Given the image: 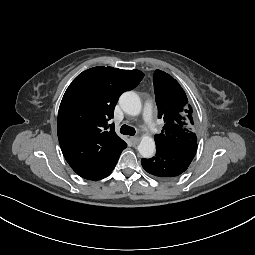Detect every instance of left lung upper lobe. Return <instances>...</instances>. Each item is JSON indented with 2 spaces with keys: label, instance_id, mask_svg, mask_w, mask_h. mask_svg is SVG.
<instances>
[{
  "label": "left lung upper lobe",
  "instance_id": "left-lung-upper-lobe-1",
  "mask_svg": "<svg viewBox=\"0 0 255 255\" xmlns=\"http://www.w3.org/2000/svg\"><path fill=\"white\" fill-rule=\"evenodd\" d=\"M153 82L158 118L164 121L162 133L154 137L156 148L197 144L193 111L184 90L173 77L161 70L155 71Z\"/></svg>",
  "mask_w": 255,
  "mask_h": 255
}]
</instances>
